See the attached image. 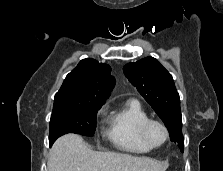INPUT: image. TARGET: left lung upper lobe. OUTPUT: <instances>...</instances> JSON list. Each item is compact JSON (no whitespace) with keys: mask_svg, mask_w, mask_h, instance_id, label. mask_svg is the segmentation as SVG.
<instances>
[{"mask_svg":"<svg viewBox=\"0 0 223 171\" xmlns=\"http://www.w3.org/2000/svg\"><path fill=\"white\" fill-rule=\"evenodd\" d=\"M124 74L167 127L172 142L184 149L179 94L171 74L153 57L124 66Z\"/></svg>","mask_w":223,"mask_h":171,"instance_id":"5c2ea615","label":"left lung upper lobe"}]
</instances>
